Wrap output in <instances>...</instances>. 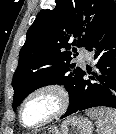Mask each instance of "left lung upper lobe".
<instances>
[{"mask_svg":"<svg viewBox=\"0 0 116 134\" xmlns=\"http://www.w3.org/2000/svg\"><path fill=\"white\" fill-rule=\"evenodd\" d=\"M55 7L41 11L27 31L12 79L13 110L34 90L51 84L64 85L70 100L76 92L81 68L70 61L75 47H88L113 0H55ZM95 14L92 21L90 15ZM72 50L74 54L70 51Z\"/></svg>","mask_w":116,"mask_h":134,"instance_id":"1","label":"left lung upper lobe"}]
</instances>
